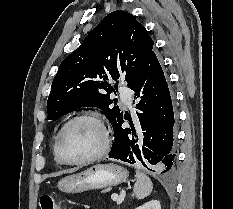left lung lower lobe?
Listing matches in <instances>:
<instances>
[{"label": "left lung lower lobe", "mask_w": 233, "mask_h": 209, "mask_svg": "<svg viewBox=\"0 0 233 209\" xmlns=\"http://www.w3.org/2000/svg\"><path fill=\"white\" fill-rule=\"evenodd\" d=\"M128 87L139 98L136 106L138 121L121 116L112 124L115 140L109 158L170 171L174 167L175 115L172 96L162 67L155 53L149 55ZM124 120L131 128H122Z\"/></svg>", "instance_id": "obj_1"}]
</instances>
